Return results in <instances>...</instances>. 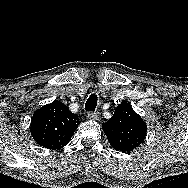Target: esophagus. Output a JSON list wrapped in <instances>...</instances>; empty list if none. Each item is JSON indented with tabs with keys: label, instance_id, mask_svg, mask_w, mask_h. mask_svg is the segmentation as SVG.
Listing matches in <instances>:
<instances>
[{
	"label": "esophagus",
	"instance_id": "1",
	"mask_svg": "<svg viewBox=\"0 0 188 188\" xmlns=\"http://www.w3.org/2000/svg\"><path fill=\"white\" fill-rule=\"evenodd\" d=\"M88 118L93 120H100V114L98 112L88 113Z\"/></svg>",
	"mask_w": 188,
	"mask_h": 188
}]
</instances>
